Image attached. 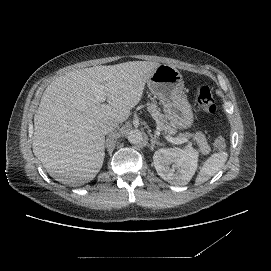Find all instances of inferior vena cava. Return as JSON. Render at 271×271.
<instances>
[{
	"mask_svg": "<svg viewBox=\"0 0 271 271\" xmlns=\"http://www.w3.org/2000/svg\"><path fill=\"white\" fill-rule=\"evenodd\" d=\"M119 123L113 120H109L101 126V131L104 134H108L118 127Z\"/></svg>",
	"mask_w": 271,
	"mask_h": 271,
	"instance_id": "1",
	"label": "inferior vena cava"
}]
</instances>
